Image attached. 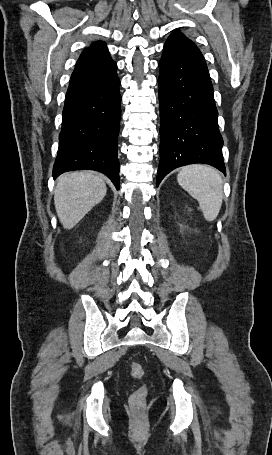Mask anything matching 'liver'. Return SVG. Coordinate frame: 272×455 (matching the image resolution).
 Returning <instances> with one entry per match:
<instances>
[{"mask_svg":"<svg viewBox=\"0 0 272 455\" xmlns=\"http://www.w3.org/2000/svg\"><path fill=\"white\" fill-rule=\"evenodd\" d=\"M107 192L104 181L93 172L66 173L57 179L54 204L65 229L73 228Z\"/></svg>","mask_w":272,"mask_h":455,"instance_id":"liver-1","label":"liver"}]
</instances>
